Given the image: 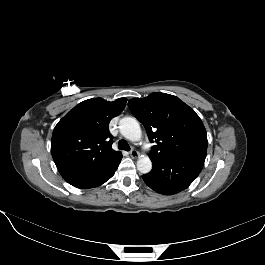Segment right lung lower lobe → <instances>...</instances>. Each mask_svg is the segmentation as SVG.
Returning <instances> with one entry per match:
<instances>
[{"mask_svg": "<svg viewBox=\"0 0 265 265\" xmlns=\"http://www.w3.org/2000/svg\"><path fill=\"white\" fill-rule=\"evenodd\" d=\"M121 159L122 156L110 163H90L78 167L59 169V172L74 187L80 189L93 188L103 184L114 175Z\"/></svg>", "mask_w": 265, "mask_h": 265, "instance_id": "98d812e1", "label": "right lung lower lobe"}]
</instances>
